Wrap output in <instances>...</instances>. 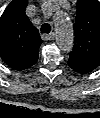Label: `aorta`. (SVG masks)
I'll return each mask as SVG.
<instances>
[{
	"label": "aorta",
	"mask_w": 100,
	"mask_h": 118,
	"mask_svg": "<svg viewBox=\"0 0 100 118\" xmlns=\"http://www.w3.org/2000/svg\"><path fill=\"white\" fill-rule=\"evenodd\" d=\"M53 20L56 27V43L64 51H71L74 45V34L72 23L68 15L63 11H55Z\"/></svg>",
	"instance_id": "obj_1"
}]
</instances>
